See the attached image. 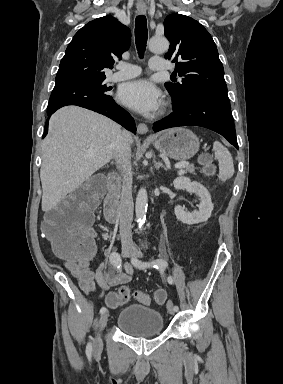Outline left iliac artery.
<instances>
[{
  "mask_svg": "<svg viewBox=\"0 0 283 384\" xmlns=\"http://www.w3.org/2000/svg\"><path fill=\"white\" fill-rule=\"evenodd\" d=\"M134 266L141 268V269L154 267V268L158 269L160 272H163L164 269L168 267V263L163 259H157V260H154L151 262H143V261L137 260L135 262ZM168 282H169V284L173 283V278L171 275L168 276ZM174 310L177 312L179 310V307L175 305Z\"/></svg>",
  "mask_w": 283,
  "mask_h": 384,
  "instance_id": "obj_1",
  "label": "left iliac artery"
}]
</instances>
